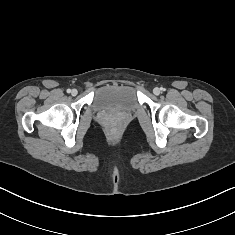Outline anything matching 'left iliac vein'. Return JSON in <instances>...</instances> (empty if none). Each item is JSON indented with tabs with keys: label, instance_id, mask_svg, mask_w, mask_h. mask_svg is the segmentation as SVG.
Listing matches in <instances>:
<instances>
[{
	"label": "left iliac vein",
	"instance_id": "left-iliac-vein-1",
	"mask_svg": "<svg viewBox=\"0 0 235 235\" xmlns=\"http://www.w3.org/2000/svg\"><path fill=\"white\" fill-rule=\"evenodd\" d=\"M153 93L155 94V95H159L160 94V89L159 88H154L153 89Z\"/></svg>",
	"mask_w": 235,
	"mask_h": 235
}]
</instances>
